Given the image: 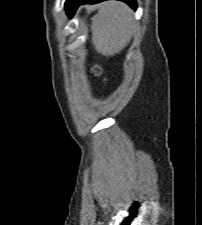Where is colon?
Wrapping results in <instances>:
<instances>
[{"instance_id":"obj_1","label":"colon","mask_w":202,"mask_h":225,"mask_svg":"<svg viewBox=\"0 0 202 225\" xmlns=\"http://www.w3.org/2000/svg\"><path fill=\"white\" fill-rule=\"evenodd\" d=\"M94 72H95V73H98V72H99V70H98L97 68H95V69H94Z\"/></svg>"}]
</instances>
